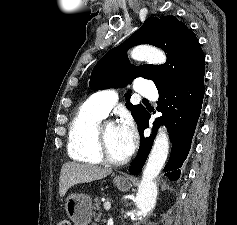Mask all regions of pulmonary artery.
<instances>
[{"instance_id": "e3ab8cb5", "label": "pulmonary artery", "mask_w": 237, "mask_h": 225, "mask_svg": "<svg viewBox=\"0 0 237 225\" xmlns=\"http://www.w3.org/2000/svg\"><path fill=\"white\" fill-rule=\"evenodd\" d=\"M137 92L144 97L150 98L152 101L156 99L157 89L152 82L142 80L140 86L137 87ZM91 99L96 108L106 116L116 104L118 93L114 89L102 90L94 93Z\"/></svg>"}]
</instances>
